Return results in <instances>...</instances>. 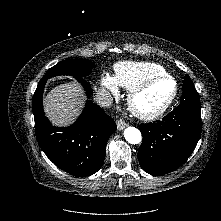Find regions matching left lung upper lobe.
Returning a JSON list of instances; mask_svg holds the SVG:
<instances>
[{"label":"left lung upper lobe","mask_w":221,"mask_h":221,"mask_svg":"<svg viewBox=\"0 0 221 221\" xmlns=\"http://www.w3.org/2000/svg\"><path fill=\"white\" fill-rule=\"evenodd\" d=\"M180 104L200 106L199 95L188 74L185 75V79L183 82V93L181 96Z\"/></svg>","instance_id":"5c2ea615"}]
</instances>
